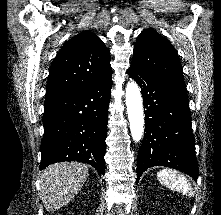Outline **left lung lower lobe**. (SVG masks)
Segmentation results:
<instances>
[{
	"label": "left lung lower lobe",
	"mask_w": 221,
	"mask_h": 215,
	"mask_svg": "<svg viewBox=\"0 0 221 215\" xmlns=\"http://www.w3.org/2000/svg\"><path fill=\"white\" fill-rule=\"evenodd\" d=\"M128 74L139 84L146 108V133L138 154L136 181L145 170L157 165L180 170L197 180L198 163L186 91L136 68L130 67Z\"/></svg>",
	"instance_id": "1"
}]
</instances>
